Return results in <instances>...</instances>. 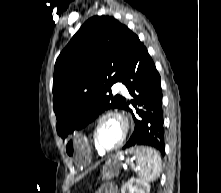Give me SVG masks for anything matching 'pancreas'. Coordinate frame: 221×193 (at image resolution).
<instances>
[{
    "label": "pancreas",
    "mask_w": 221,
    "mask_h": 193,
    "mask_svg": "<svg viewBox=\"0 0 221 193\" xmlns=\"http://www.w3.org/2000/svg\"><path fill=\"white\" fill-rule=\"evenodd\" d=\"M103 180H111L112 178H114L115 176H117L119 174V170L118 169H111L109 167H104L103 168Z\"/></svg>",
    "instance_id": "1"
}]
</instances>
